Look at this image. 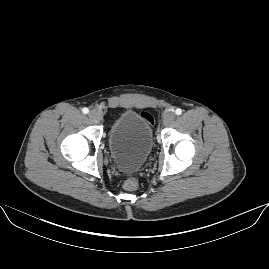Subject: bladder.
Returning <instances> with one entry per match:
<instances>
[{
	"label": "bladder",
	"mask_w": 269,
	"mask_h": 269,
	"mask_svg": "<svg viewBox=\"0 0 269 269\" xmlns=\"http://www.w3.org/2000/svg\"><path fill=\"white\" fill-rule=\"evenodd\" d=\"M153 144V125L135 110H124L110 125L108 150L122 172L138 171L151 155Z\"/></svg>",
	"instance_id": "31cf9c89"
}]
</instances>
